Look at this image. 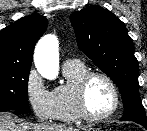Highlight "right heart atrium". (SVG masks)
Masks as SVG:
<instances>
[{"instance_id":"d8ad5b80","label":"right heart atrium","mask_w":147,"mask_h":131,"mask_svg":"<svg viewBox=\"0 0 147 131\" xmlns=\"http://www.w3.org/2000/svg\"><path fill=\"white\" fill-rule=\"evenodd\" d=\"M25 93L37 119L42 121L53 120L55 116V103L52 91H50L40 74L31 69L25 80Z\"/></svg>"}]
</instances>
